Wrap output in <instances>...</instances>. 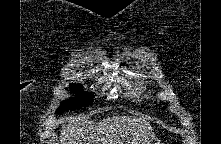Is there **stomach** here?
Returning <instances> with one entry per match:
<instances>
[{"label":"stomach","mask_w":221,"mask_h":144,"mask_svg":"<svg viewBox=\"0 0 221 144\" xmlns=\"http://www.w3.org/2000/svg\"><path fill=\"white\" fill-rule=\"evenodd\" d=\"M141 144H159V142L157 141V139H155V136H154V137H150L149 139H147Z\"/></svg>","instance_id":"1"}]
</instances>
